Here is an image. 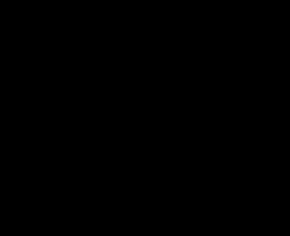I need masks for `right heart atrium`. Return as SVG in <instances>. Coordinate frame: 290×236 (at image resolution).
<instances>
[{
	"instance_id": "obj_1",
	"label": "right heart atrium",
	"mask_w": 290,
	"mask_h": 236,
	"mask_svg": "<svg viewBox=\"0 0 290 236\" xmlns=\"http://www.w3.org/2000/svg\"><path fill=\"white\" fill-rule=\"evenodd\" d=\"M126 94L131 102V108L137 114H142L146 107V99L132 85L126 86Z\"/></svg>"
}]
</instances>
